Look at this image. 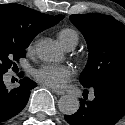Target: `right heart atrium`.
<instances>
[{
    "mask_svg": "<svg viewBox=\"0 0 125 125\" xmlns=\"http://www.w3.org/2000/svg\"><path fill=\"white\" fill-rule=\"evenodd\" d=\"M33 50H34V42H31L27 46V52H32Z\"/></svg>",
    "mask_w": 125,
    "mask_h": 125,
    "instance_id": "d8ad5b80",
    "label": "right heart atrium"
}]
</instances>
